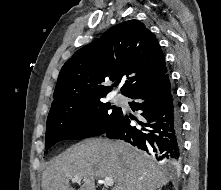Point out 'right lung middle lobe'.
<instances>
[{
	"instance_id": "obj_1",
	"label": "right lung middle lobe",
	"mask_w": 221,
	"mask_h": 190,
	"mask_svg": "<svg viewBox=\"0 0 221 190\" xmlns=\"http://www.w3.org/2000/svg\"><path fill=\"white\" fill-rule=\"evenodd\" d=\"M122 109L103 98L51 108L46 127L45 149L61 140H79L106 133L120 118Z\"/></svg>"
}]
</instances>
